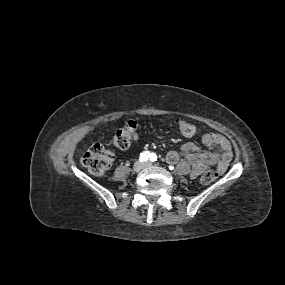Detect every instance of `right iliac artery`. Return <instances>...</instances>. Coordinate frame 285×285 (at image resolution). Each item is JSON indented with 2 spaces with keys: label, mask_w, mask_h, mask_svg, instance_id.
I'll list each match as a JSON object with an SVG mask.
<instances>
[{
  "label": "right iliac artery",
  "mask_w": 285,
  "mask_h": 285,
  "mask_svg": "<svg viewBox=\"0 0 285 285\" xmlns=\"http://www.w3.org/2000/svg\"><path fill=\"white\" fill-rule=\"evenodd\" d=\"M149 158H150L149 151H144V152L140 153L139 160L141 162H145V161L149 160Z\"/></svg>",
  "instance_id": "obj_1"
}]
</instances>
